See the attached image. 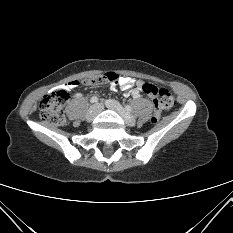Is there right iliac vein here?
I'll return each instance as SVG.
<instances>
[{"instance_id": "right-iliac-vein-1", "label": "right iliac vein", "mask_w": 233, "mask_h": 233, "mask_svg": "<svg viewBox=\"0 0 233 233\" xmlns=\"http://www.w3.org/2000/svg\"><path fill=\"white\" fill-rule=\"evenodd\" d=\"M101 111V106L99 104L92 105L87 113V121H92L98 113Z\"/></svg>"}]
</instances>
